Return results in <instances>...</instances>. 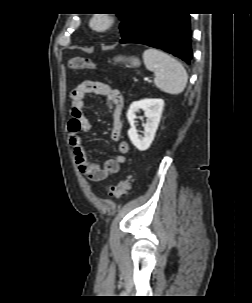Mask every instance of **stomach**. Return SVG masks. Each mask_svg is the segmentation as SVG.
<instances>
[{
  "label": "stomach",
  "mask_w": 252,
  "mask_h": 303,
  "mask_svg": "<svg viewBox=\"0 0 252 303\" xmlns=\"http://www.w3.org/2000/svg\"><path fill=\"white\" fill-rule=\"evenodd\" d=\"M115 62H124V63H129L130 65L127 64L129 67H138L140 66V60L135 57H130L126 58L124 56H117L114 58Z\"/></svg>",
  "instance_id": "0dacf381"
}]
</instances>
